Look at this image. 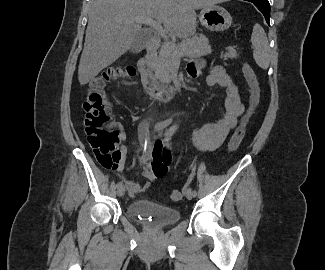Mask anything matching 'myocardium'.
Segmentation results:
<instances>
[{
	"label": "myocardium",
	"mask_w": 325,
	"mask_h": 270,
	"mask_svg": "<svg viewBox=\"0 0 325 270\" xmlns=\"http://www.w3.org/2000/svg\"><path fill=\"white\" fill-rule=\"evenodd\" d=\"M214 2H222V1H227V0H212Z\"/></svg>",
	"instance_id": "obj_1"
}]
</instances>
